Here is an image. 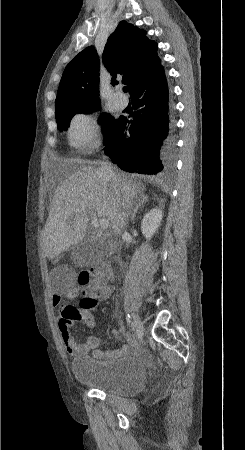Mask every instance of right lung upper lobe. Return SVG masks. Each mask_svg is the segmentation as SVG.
<instances>
[{
  "label": "right lung upper lobe",
  "instance_id": "obj_1",
  "mask_svg": "<svg viewBox=\"0 0 245 450\" xmlns=\"http://www.w3.org/2000/svg\"><path fill=\"white\" fill-rule=\"evenodd\" d=\"M146 32L123 21L109 37L103 62L112 74H124L122 82L129 85L130 93L135 87L161 67L157 56V43L145 36ZM76 103L100 104L99 59L93 46L81 51L65 68L57 92L55 106Z\"/></svg>",
  "mask_w": 245,
  "mask_h": 450
}]
</instances>
